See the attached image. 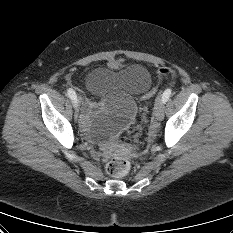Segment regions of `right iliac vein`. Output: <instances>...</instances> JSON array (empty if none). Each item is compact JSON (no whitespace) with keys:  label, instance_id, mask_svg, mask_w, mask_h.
<instances>
[{"label":"right iliac vein","instance_id":"1","mask_svg":"<svg viewBox=\"0 0 233 233\" xmlns=\"http://www.w3.org/2000/svg\"><path fill=\"white\" fill-rule=\"evenodd\" d=\"M80 101H81V98L77 97L76 103L74 104V106H75V114H74L75 120L78 119L79 103H80Z\"/></svg>","mask_w":233,"mask_h":233}]
</instances>
